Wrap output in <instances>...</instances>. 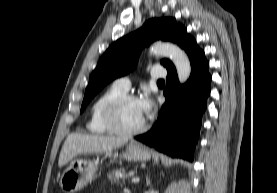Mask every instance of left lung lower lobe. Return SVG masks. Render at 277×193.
I'll use <instances>...</instances> for the list:
<instances>
[{"label":"left lung lower lobe","mask_w":277,"mask_h":193,"mask_svg":"<svg viewBox=\"0 0 277 193\" xmlns=\"http://www.w3.org/2000/svg\"><path fill=\"white\" fill-rule=\"evenodd\" d=\"M191 63L189 80L180 85L172 64L167 67L166 102L158 115L156 125L147 133L138 135L141 141L172 157L193 159L202 114L210 94L211 75L204 51L191 38L184 47Z\"/></svg>","instance_id":"left-lung-lower-lobe-1"}]
</instances>
